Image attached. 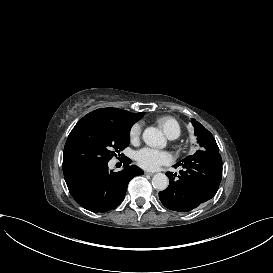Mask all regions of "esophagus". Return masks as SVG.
I'll return each instance as SVG.
<instances>
[{"label":"esophagus","mask_w":273,"mask_h":273,"mask_svg":"<svg viewBox=\"0 0 273 273\" xmlns=\"http://www.w3.org/2000/svg\"><path fill=\"white\" fill-rule=\"evenodd\" d=\"M144 174H145V175H149V176H153V175H154V173H153V172H150V171H145Z\"/></svg>","instance_id":"obj_1"}]
</instances>
